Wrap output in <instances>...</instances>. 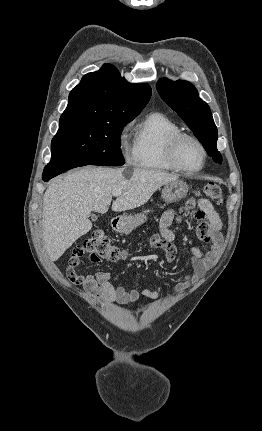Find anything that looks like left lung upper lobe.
<instances>
[{"label": "left lung upper lobe", "mask_w": 262, "mask_h": 431, "mask_svg": "<svg viewBox=\"0 0 262 431\" xmlns=\"http://www.w3.org/2000/svg\"><path fill=\"white\" fill-rule=\"evenodd\" d=\"M161 98L185 121L208 154L221 164L216 148L217 127L209 106L199 98L196 88L187 81L160 79L156 85Z\"/></svg>", "instance_id": "obj_1"}]
</instances>
